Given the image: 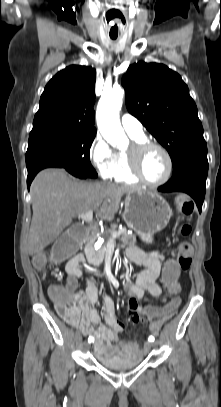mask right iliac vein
Wrapping results in <instances>:
<instances>
[{
	"label": "right iliac vein",
	"mask_w": 221,
	"mask_h": 407,
	"mask_svg": "<svg viewBox=\"0 0 221 407\" xmlns=\"http://www.w3.org/2000/svg\"><path fill=\"white\" fill-rule=\"evenodd\" d=\"M90 347L89 342H84V349L87 350Z\"/></svg>",
	"instance_id": "right-iliac-vein-1"
}]
</instances>
